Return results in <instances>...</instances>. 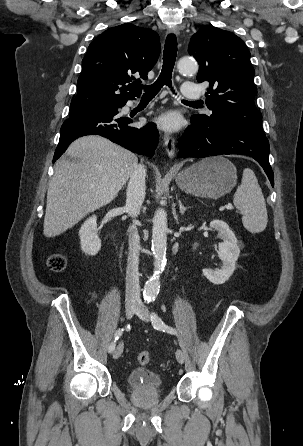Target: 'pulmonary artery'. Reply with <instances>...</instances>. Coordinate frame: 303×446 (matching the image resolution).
I'll return each instance as SVG.
<instances>
[{"mask_svg":"<svg viewBox=\"0 0 303 446\" xmlns=\"http://www.w3.org/2000/svg\"><path fill=\"white\" fill-rule=\"evenodd\" d=\"M183 96L188 100H198L201 98V91L198 85L185 82L182 86Z\"/></svg>","mask_w":303,"mask_h":446,"instance_id":"1","label":"pulmonary artery"}]
</instances>
